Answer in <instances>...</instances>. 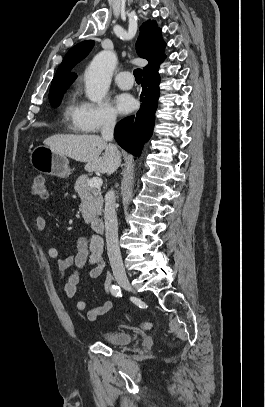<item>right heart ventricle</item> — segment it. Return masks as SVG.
Returning a JSON list of instances; mask_svg holds the SVG:
<instances>
[{
  "label": "right heart ventricle",
  "mask_w": 265,
  "mask_h": 407,
  "mask_svg": "<svg viewBox=\"0 0 265 407\" xmlns=\"http://www.w3.org/2000/svg\"><path fill=\"white\" fill-rule=\"evenodd\" d=\"M63 120L66 123L67 127L76 133H85L88 130L84 127L81 122V109L80 105L77 104L74 95L68 99L64 109H63Z\"/></svg>",
  "instance_id": "obj_1"
}]
</instances>
